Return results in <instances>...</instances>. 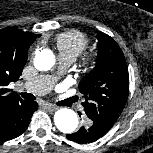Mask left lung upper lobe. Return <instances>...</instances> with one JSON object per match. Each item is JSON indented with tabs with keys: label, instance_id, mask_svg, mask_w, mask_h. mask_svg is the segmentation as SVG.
<instances>
[{
	"label": "left lung upper lobe",
	"instance_id": "1",
	"mask_svg": "<svg viewBox=\"0 0 153 153\" xmlns=\"http://www.w3.org/2000/svg\"><path fill=\"white\" fill-rule=\"evenodd\" d=\"M99 50L95 68L79 83L82 103L90 124L107 132L120 116L129 93V75L119 45L107 34L97 36Z\"/></svg>",
	"mask_w": 153,
	"mask_h": 153
}]
</instances>
